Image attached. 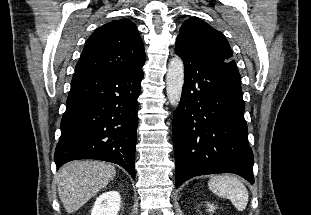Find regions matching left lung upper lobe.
I'll list each match as a JSON object with an SVG mask.
<instances>
[{"label": "left lung upper lobe", "mask_w": 311, "mask_h": 215, "mask_svg": "<svg viewBox=\"0 0 311 215\" xmlns=\"http://www.w3.org/2000/svg\"><path fill=\"white\" fill-rule=\"evenodd\" d=\"M176 42L213 62L232 78L241 82L228 41L220 31L212 28L206 22L196 17L187 19L180 28Z\"/></svg>", "instance_id": "obj_1"}]
</instances>
